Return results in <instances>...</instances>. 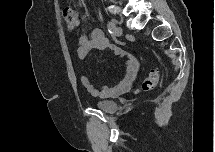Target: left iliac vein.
<instances>
[{
	"instance_id": "4c4485c4",
	"label": "left iliac vein",
	"mask_w": 215,
	"mask_h": 152,
	"mask_svg": "<svg viewBox=\"0 0 215 152\" xmlns=\"http://www.w3.org/2000/svg\"><path fill=\"white\" fill-rule=\"evenodd\" d=\"M122 35V28L119 26H116L114 28V36L115 37H120Z\"/></svg>"
}]
</instances>
